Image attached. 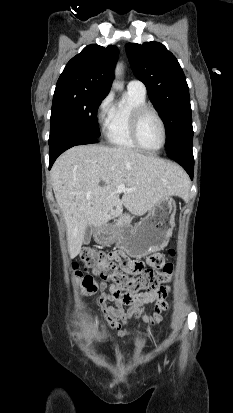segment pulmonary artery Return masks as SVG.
<instances>
[{"instance_id":"obj_1","label":"pulmonary artery","mask_w":233,"mask_h":413,"mask_svg":"<svg viewBox=\"0 0 233 413\" xmlns=\"http://www.w3.org/2000/svg\"><path fill=\"white\" fill-rule=\"evenodd\" d=\"M127 89L146 94V87L143 82L137 79H132L127 84Z\"/></svg>"}]
</instances>
